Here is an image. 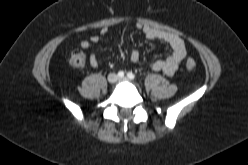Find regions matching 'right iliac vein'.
Instances as JSON below:
<instances>
[{
	"label": "right iliac vein",
	"mask_w": 248,
	"mask_h": 165,
	"mask_svg": "<svg viewBox=\"0 0 248 165\" xmlns=\"http://www.w3.org/2000/svg\"><path fill=\"white\" fill-rule=\"evenodd\" d=\"M117 79H118V76L114 73H111L108 75V81L110 83H115L117 81Z\"/></svg>",
	"instance_id": "63e3f726"
}]
</instances>
